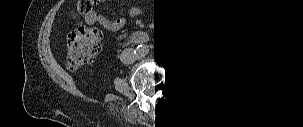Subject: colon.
<instances>
[{
    "label": "colon",
    "instance_id": "1",
    "mask_svg": "<svg viewBox=\"0 0 303 127\" xmlns=\"http://www.w3.org/2000/svg\"><path fill=\"white\" fill-rule=\"evenodd\" d=\"M94 0H81L77 10L87 16L94 12ZM101 32L93 27L79 23L67 36L68 57L67 66L76 69L90 62L101 49ZM220 57H226L224 48L218 50Z\"/></svg>",
    "mask_w": 303,
    "mask_h": 127
}]
</instances>
